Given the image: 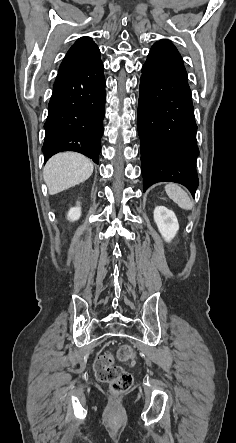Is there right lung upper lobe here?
<instances>
[{"label":"right lung upper lobe","instance_id":"cb5924a9","mask_svg":"<svg viewBox=\"0 0 236 443\" xmlns=\"http://www.w3.org/2000/svg\"><path fill=\"white\" fill-rule=\"evenodd\" d=\"M64 61H73L85 64L101 62L100 50L90 37L79 38L69 49Z\"/></svg>","mask_w":236,"mask_h":443}]
</instances>
